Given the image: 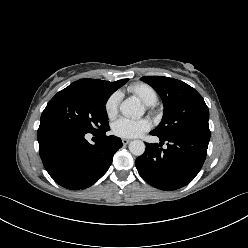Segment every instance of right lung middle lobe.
Segmentation results:
<instances>
[{"instance_id":"1","label":"right lung middle lobe","mask_w":248,"mask_h":248,"mask_svg":"<svg viewBox=\"0 0 248 248\" xmlns=\"http://www.w3.org/2000/svg\"><path fill=\"white\" fill-rule=\"evenodd\" d=\"M110 95L68 86L48 102L39 127L55 125L92 134L106 131L109 122L105 105Z\"/></svg>"}]
</instances>
